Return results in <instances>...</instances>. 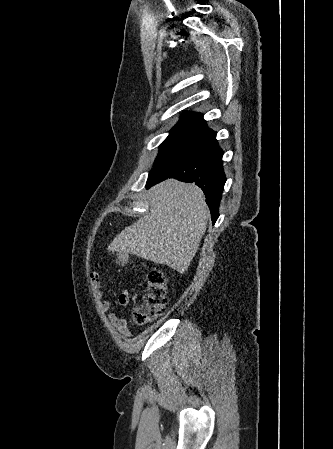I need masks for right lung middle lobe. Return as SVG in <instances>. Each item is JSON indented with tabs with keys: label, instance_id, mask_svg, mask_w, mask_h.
Returning <instances> with one entry per match:
<instances>
[{
	"label": "right lung middle lobe",
	"instance_id": "right-lung-middle-lobe-1",
	"mask_svg": "<svg viewBox=\"0 0 333 449\" xmlns=\"http://www.w3.org/2000/svg\"><path fill=\"white\" fill-rule=\"evenodd\" d=\"M202 132L200 129L196 128H185L174 126L168 137L160 145L159 154L154 162V167H156L162 160H164L173 151L178 149L180 146L185 144L187 141L195 137L197 134Z\"/></svg>",
	"mask_w": 333,
	"mask_h": 449
}]
</instances>
